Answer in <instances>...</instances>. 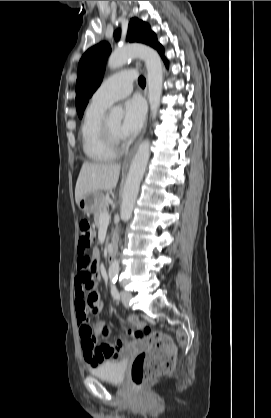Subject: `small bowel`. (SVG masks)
I'll return each mask as SVG.
<instances>
[{
    "mask_svg": "<svg viewBox=\"0 0 271 418\" xmlns=\"http://www.w3.org/2000/svg\"><path fill=\"white\" fill-rule=\"evenodd\" d=\"M99 252L94 250L93 258L90 255L76 257V276L74 278V295L76 321L79 325L81 346L84 360L92 367L105 361L116 360L122 354L128 352L131 346L127 342L134 332L127 330L126 337L112 344L108 339V329L103 322L96 323L93 327L88 324V312L98 314L102 311L103 303L96 289L97 278H100L98 267ZM88 328L90 333H85ZM105 337V341L98 344V338Z\"/></svg>",
    "mask_w": 271,
    "mask_h": 418,
    "instance_id": "obj_1",
    "label": "small bowel"
}]
</instances>
